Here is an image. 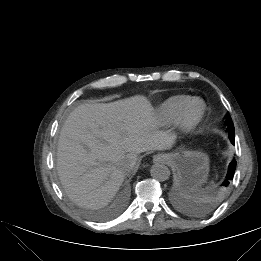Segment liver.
I'll return each instance as SVG.
<instances>
[{
    "label": "liver",
    "instance_id": "1",
    "mask_svg": "<svg viewBox=\"0 0 261 261\" xmlns=\"http://www.w3.org/2000/svg\"><path fill=\"white\" fill-rule=\"evenodd\" d=\"M171 143V137L158 130L154 109L144 96L81 104L60 132L58 175L77 205L102 208L136 166L140 153L166 150Z\"/></svg>",
    "mask_w": 261,
    "mask_h": 261
}]
</instances>
